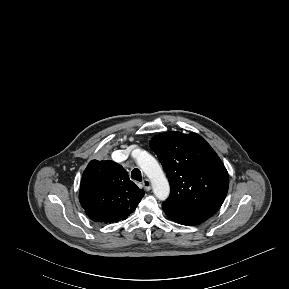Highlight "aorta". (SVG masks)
I'll return each instance as SVG.
<instances>
[{"instance_id": "aorta-1", "label": "aorta", "mask_w": 289, "mask_h": 289, "mask_svg": "<svg viewBox=\"0 0 289 289\" xmlns=\"http://www.w3.org/2000/svg\"><path fill=\"white\" fill-rule=\"evenodd\" d=\"M138 166L143 170L152 183V189L159 200H166L170 193L168 180L156 159L148 152L134 150Z\"/></svg>"}]
</instances>
